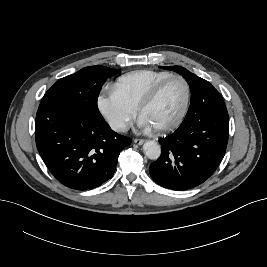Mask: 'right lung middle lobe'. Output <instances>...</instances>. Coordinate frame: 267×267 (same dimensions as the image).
Masks as SVG:
<instances>
[{
	"label": "right lung middle lobe",
	"mask_w": 267,
	"mask_h": 267,
	"mask_svg": "<svg viewBox=\"0 0 267 267\" xmlns=\"http://www.w3.org/2000/svg\"><path fill=\"white\" fill-rule=\"evenodd\" d=\"M120 71L104 66H90L59 79L44 95V99L66 103L84 112L101 115L97 99L105 81Z\"/></svg>",
	"instance_id": "1"
}]
</instances>
